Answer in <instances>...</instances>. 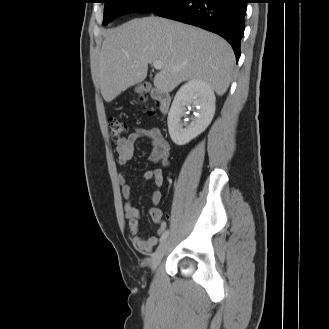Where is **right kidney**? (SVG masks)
I'll return each instance as SVG.
<instances>
[{
  "mask_svg": "<svg viewBox=\"0 0 329 329\" xmlns=\"http://www.w3.org/2000/svg\"><path fill=\"white\" fill-rule=\"evenodd\" d=\"M215 95L209 84L202 80H190L176 93L168 113V130L172 141L185 145L201 134L211 123L215 113ZM190 106L197 107L192 122L183 123L181 117Z\"/></svg>",
  "mask_w": 329,
  "mask_h": 329,
  "instance_id": "obj_1",
  "label": "right kidney"
}]
</instances>
